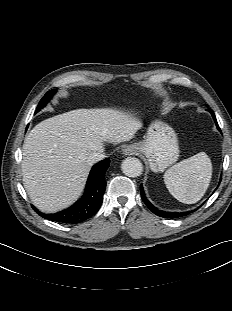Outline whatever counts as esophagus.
<instances>
[{"instance_id": "obj_1", "label": "esophagus", "mask_w": 232, "mask_h": 311, "mask_svg": "<svg viewBox=\"0 0 232 311\" xmlns=\"http://www.w3.org/2000/svg\"><path fill=\"white\" fill-rule=\"evenodd\" d=\"M123 154L125 155H132V154H135L137 152V150L134 148V147H125L123 150H122Z\"/></svg>"}]
</instances>
